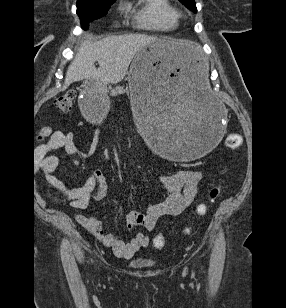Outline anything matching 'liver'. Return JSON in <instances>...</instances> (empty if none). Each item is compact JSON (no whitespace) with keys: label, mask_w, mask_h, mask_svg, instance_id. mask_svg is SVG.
<instances>
[{"label":"liver","mask_w":286,"mask_h":308,"mask_svg":"<svg viewBox=\"0 0 286 308\" xmlns=\"http://www.w3.org/2000/svg\"><path fill=\"white\" fill-rule=\"evenodd\" d=\"M159 40L143 34L112 36L97 42L85 40L67 69L63 89L83 79H93L101 85L121 82L137 52ZM165 40L169 52L181 61L192 60L200 51L197 44L188 40ZM96 61L99 68L95 67Z\"/></svg>","instance_id":"obj_1"}]
</instances>
